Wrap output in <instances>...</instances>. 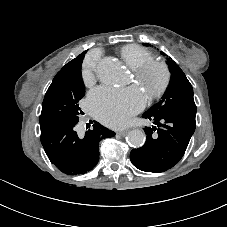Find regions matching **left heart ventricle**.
Segmentation results:
<instances>
[{
  "mask_svg": "<svg viewBox=\"0 0 227 227\" xmlns=\"http://www.w3.org/2000/svg\"><path fill=\"white\" fill-rule=\"evenodd\" d=\"M161 80V73L159 71H154L151 73V75L148 77V79L142 84V87L146 90L148 94H150L155 86L160 82Z\"/></svg>",
  "mask_w": 227,
  "mask_h": 227,
  "instance_id": "b2bd125f",
  "label": "left heart ventricle"
}]
</instances>
